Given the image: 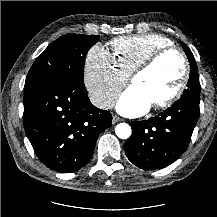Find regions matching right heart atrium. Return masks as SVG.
<instances>
[{"label":"right heart atrium","mask_w":217,"mask_h":217,"mask_svg":"<svg viewBox=\"0 0 217 217\" xmlns=\"http://www.w3.org/2000/svg\"><path fill=\"white\" fill-rule=\"evenodd\" d=\"M84 80L92 102L101 109H108L128 82V76L116 66L110 52L95 45L85 60Z\"/></svg>","instance_id":"d8ad5b80"}]
</instances>
